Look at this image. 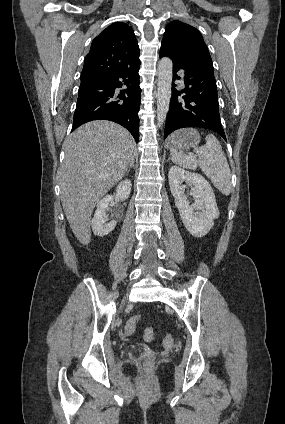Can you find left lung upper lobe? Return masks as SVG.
<instances>
[{
    "mask_svg": "<svg viewBox=\"0 0 285 424\" xmlns=\"http://www.w3.org/2000/svg\"><path fill=\"white\" fill-rule=\"evenodd\" d=\"M161 45L182 58L203 57L211 60L201 33L178 20L167 25Z\"/></svg>",
    "mask_w": 285,
    "mask_h": 424,
    "instance_id": "left-lung-upper-lobe-1",
    "label": "left lung upper lobe"
}]
</instances>
